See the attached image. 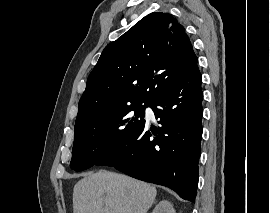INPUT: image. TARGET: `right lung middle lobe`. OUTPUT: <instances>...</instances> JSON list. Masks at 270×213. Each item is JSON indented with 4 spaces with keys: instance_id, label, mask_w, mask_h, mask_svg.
<instances>
[{
    "instance_id": "dd1d6c3e",
    "label": "right lung middle lobe",
    "mask_w": 270,
    "mask_h": 213,
    "mask_svg": "<svg viewBox=\"0 0 270 213\" xmlns=\"http://www.w3.org/2000/svg\"><path fill=\"white\" fill-rule=\"evenodd\" d=\"M149 103L120 106L75 123L71 169L82 171L97 165L144 124Z\"/></svg>"
}]
</instances>
